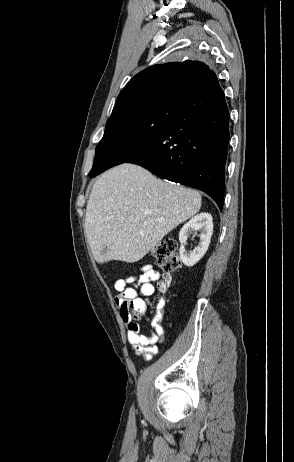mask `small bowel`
<instances>
[{"instance_id":"small-bowel-1","label":"small bowel","mask_w":294,"mask_h":462,"mask_svg":"<svg viewBox=\"0 0 294 462\" xmlns=\"http://www.w3.org/2000/svg\"><path fill=\"white\" fill-rule=\"evenodd\" d=\"M139 276H128L118 279L114 283L116 295L114 302L117 305L122 321L127 325V340L132 345L136 355L142 356L145 360H151L158 353L157 344L164 338V329L161 325L165 302L158 301L156 314L151 320L152 329L142 333L139 324L132 321L130 310L143 312L145 302L140 296L149 297L154 291L160 274L150 264L140 268Z\"/></svg>"}]
</instances>
